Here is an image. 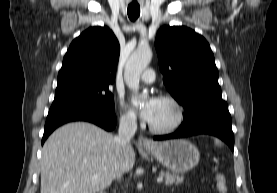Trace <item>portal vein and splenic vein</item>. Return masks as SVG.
<instances>
[{
    "label": "portal vein and splenic vein",
    "mask_w": 277,
    "mask_h": 193,
    "mask_svg": "<svg viewBox=\"0 0 277 193\" xmlns=\"http://www.w3.org/2000/svg\"><path fill=\"white\" fill-rule=\"evenodd\" d=\"M162 181H163V177H162V176H159V177L157 178V182L160 183V182H162Z\"/></svg>",
    "instance_id": "obj_1"
}]
</instances>
